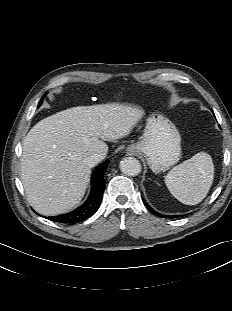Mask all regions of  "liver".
<instances>
[{"mask_svg":"<svg viewBox=\"0 0 232 311\" xmlns=\"http://www.w3.org/2000/svg\"><path fill=\"white\" fill-rule=\"evenodd\" d=\"M143 110L117 103L78 106L39 121L23 141L22 183L30 205L42 215L69 211L83 198L91 173L86 159L106 156L127 136Z\"/></svg>","mask_w":232,"mask_h":311,"instance_id":"obj_1","label":"liver"}]
</instances>
